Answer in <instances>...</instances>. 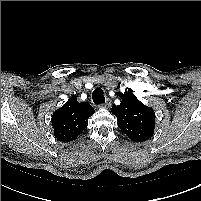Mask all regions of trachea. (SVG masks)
I'll return each instance as SVG.
<instances>
[{"instance_id":"trachea-1","label":"trachea","mask_w":201,"mask_h":201,"mask_svg":"<svg viewBox=\"0 0 201 201\" xmlns=\"http://www.w3.org/2000/svg\"><path fill=\"white\" fill-rule=\"evenodd\" d=\"M92 99H93L94 104H96V105L103 104L105 102L104 93H103V90L100 87L96 88L93 91Z\"/></svg>"}]
</instances>
